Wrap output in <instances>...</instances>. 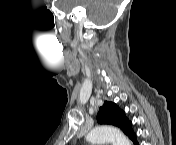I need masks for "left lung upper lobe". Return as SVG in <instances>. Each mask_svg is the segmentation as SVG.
<instances>
[{"mask_svg": "<svg viewBox=\"0 0 176 145\" xmlns=\"http://www.w3.org/2000/svg\"><path fill=\"white\" fill-rule=\"evenodd\" d=\"M97 122L121 128L130 139L135 136L131 122L126 118L124 111L115 103L108 101L104 103L97 114Z\"/></svg>", "mask_w": 176, "mask_h": 145, "instance_id": "obj_1", "label": "left lung upper lobe"}]
</instances>
